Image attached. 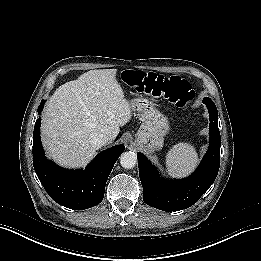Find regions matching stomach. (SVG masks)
I'll return each instance as SVG.
<instances>
[{"label":"stomach","mask_w":261,"mask_h":261,"mask_svg":"<svg viewBox=\"0 0 261 261\" xmlns=\"http://www.w3.org/2000/svg\"><path fill=\"white\" fill-rule=\"evenodd\" d=\"M131 108L142 121L136 134L137 144L147 152L160 150L170 129L168 118L151 101L144 98L132 100Z\"/></svg>","instance_id":"1"}]
</instances>
